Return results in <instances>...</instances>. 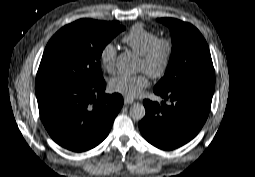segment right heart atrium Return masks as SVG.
Here are the masks:
<instances>
[{
  "mask_svg": "<svg viewBox=\"0 0 255 177\" xmlns=\"http://www.w3.org/2000/svg\"><path fill=\"white\" fill-rule=\"evenodd\" d=\"M117 57V49L112 42H108L100 50L99 59L102 66L112 73L115 70V63Z\"/></svg>",
  "mask_w": 255,
  "mask_h": 177,
  "instance_id": "d8ad5b80",
  "label": "right heart atrium"
}]
</instances>
